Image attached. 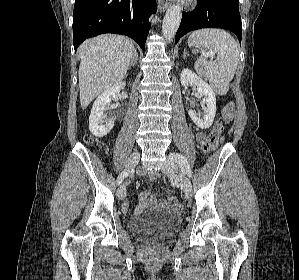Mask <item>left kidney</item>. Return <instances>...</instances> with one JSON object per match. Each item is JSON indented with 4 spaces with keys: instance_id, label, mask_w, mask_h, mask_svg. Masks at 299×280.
I'll return each instance as SVG.
<instances>
[{
    "instance_id": "5707ae66",
    "label": "left kidney",
    "mask_w": 299,
    "mask_h": 280,
    "mask_svg": "<svg viewBox=\"0 0 299 280\" xmlns=\"http://www.w3.org/2000/svg\"><path fill=\"white\" fill-rule=\"evenodd\" d=\"M180 80L183 86L196 85L198 93L201 96H205L203 101L206 103L207 108L204 117L201 119L193 110H189L188 114L197 127L201 129L209 128L212 125L216 114V97L212 88L202 78L189 69L182 70Z\"/></svg>"
}]
</instances>
